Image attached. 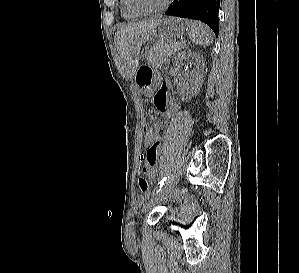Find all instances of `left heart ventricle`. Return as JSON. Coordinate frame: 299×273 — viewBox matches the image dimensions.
Here are the masks:
<instances>
[{
	"label": "left heart ventricle",
	"instance_id": "1",
	"mask_svg": "<svg viewBox=\"0 0 299 273\" xmlns=\"http://www.w3.org/2000/svg\"><path fill=\"white\" fill-rule=\"evenodd\" d=\"M142 7L154 9L159 7L164 0H136Z\"/></svg>",
	"mask_w": 299,
	"mask_h": 273
}]
</instances>
